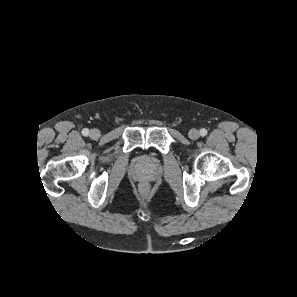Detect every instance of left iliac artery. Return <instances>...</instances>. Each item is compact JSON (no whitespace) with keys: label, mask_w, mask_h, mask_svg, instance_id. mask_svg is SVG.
I'll return each mask as SVG.
<instances>
[{"label":"left iliac artery","mask_w":297,"mask_h":297,"mask_svg":"<svg viewBox=\"0 0 297 297\" xmlns=\"http://www.w3.org/2000/svg\"><path fill=\"white\" fill-rule=\"evenodd\" d=\"M200 135L201 136H206L207 135V130L206 129H204V128H202L201 130H200Z\"/></svg>","instance_id":"obj_1"}]
</instances>
